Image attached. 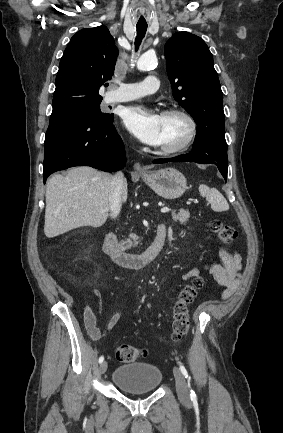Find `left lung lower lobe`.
<instances>
[{"label":"left lung lower lobe","mask_w":283,"mask_h":433,"mask_svg":"<svg viewBox=\"0 0 283 433\" xmlns=\"http://www.w3.org/2000/svg\"><path fill=\"white\" fill-rule=\"evenodd\" d=\"M196 162L215 164L225 181L227 180L228 158L225 130L215 126L197 129L193 150L174 158L155 159L153 163Z\"/></svg>","instance_id":"1"}]
</instances>
